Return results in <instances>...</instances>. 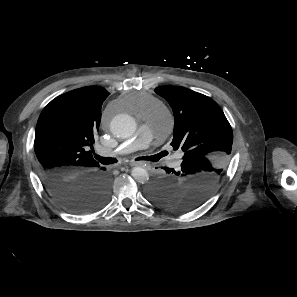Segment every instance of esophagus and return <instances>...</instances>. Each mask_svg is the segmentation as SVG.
I'll return each instance as SVG.
<instances>
[{
  "mask_svg": "<svg viewBox=\"0 0 297 297\" xmlns=\"http://www.w3.org/2000/svg\"><path fill=\"white\" fill-rule=\"evenodd\" d=\"M130 165L131 166H143L144 163L143 162H131Z\"/></svg>",
  "mask_w": 297,
  "mask_h": 297,
  "instance_id": "esophagus-1",
  "label": "esophagus"
}]
</instances>
